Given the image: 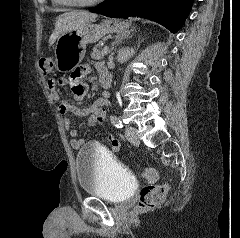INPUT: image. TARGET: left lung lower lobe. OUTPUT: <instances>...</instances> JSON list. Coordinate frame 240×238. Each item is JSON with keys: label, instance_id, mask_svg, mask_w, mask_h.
<instances>
[{"label": "left lung lower lobe", "instance_id": "0a47b994", "mask_svg": "<svg viewBox=\"0 0 240 238\" xmlns=\"http://www.w3.org/2000/svg\"><path fill=\"white\" fill-rule=\"evenodd\" d=\"M194 0H105L90 11L112 18L142 17L176 33L184 24Z\"/></svg>", "mask_w": 240, "mask_h": 238}]
</instances>
